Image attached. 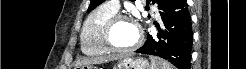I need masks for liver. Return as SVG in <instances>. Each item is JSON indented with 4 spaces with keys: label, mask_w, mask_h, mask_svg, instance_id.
I'll return each instance as SVG.
<instances>
[{
    "label": "liver",
    "mask_w": 246,
    "mask_h": 69,
    "mask_svg": "<svg viewBox=\"0 0 246 69\" xmlns=\"http://www.w3.org/2000/svg\"><path fill=\"white\" fill-rule=\"evenodd\" d=\"M118 58L119 56H107V57H96L92 59H84L81 62H79L77 66L89 65L93 63H102V62H107V61H111V60L118 59Z\"/></svg>",
    "instance_id": "liver-1"
}]
</instances>
